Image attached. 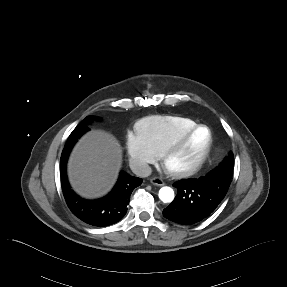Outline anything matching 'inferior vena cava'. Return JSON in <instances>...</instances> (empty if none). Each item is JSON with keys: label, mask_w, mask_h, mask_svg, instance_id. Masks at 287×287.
Instances as JSON below:
<instances>
[{"label": "inferior vena cava", "mask_w": 287, "mask_h": 287, "mask_svg": "<svg viewBox=\"0 0 287 287\" xmlns=\"http://www.w3.org/2000/svg\"><path fill=\"white\" fill-rule=\"evenodd\" d=\"M130 168L132 172L139 177H148L152 172L151 167L147 163L140 160H132L130 162Z\"/></svg>", "instance_id": "1"}]
</instances>
